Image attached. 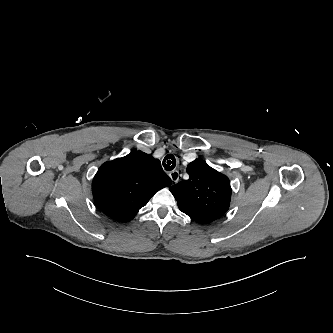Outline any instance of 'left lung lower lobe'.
Returning a JSON list of instances; mask_svg holds the SVG:
<instances>
[{
    "label": "left lung lower lobe",
    "instance_id": "0a47b994",
    "mask_svg": "<svg viewBox=\"0 0 333 333\" xmlns=\"http://www.w3.org/2000/svg\"><path fill=\"white\" fill-rule=\"evenodd\" d=\"M183 213L187 214L192 220L199 222V223H208L213 220L220 218L224 212L221 211H197L188 208H181L180 209Z\"/></svg>",
    "mask_w": 333,
    "mask_h": 333
}]
</instances>
